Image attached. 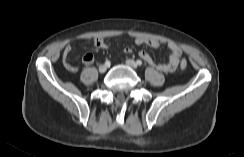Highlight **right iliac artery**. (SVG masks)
I'll use <instances>...</instances> for the list:
<instances>
[{
  "mask_svg": "<svg viewBox=\"0 0 244 157\" xmlns=\"http://www.w3.org/2000/svg\"><path fill=\"white\" fill-rule=\"evenodd\" d=\"M105 64H106L107 66H109V65H110V61H109V60H106V61H105Z\"/></svg>",
  "mask_w": 244,
  "mask_h": 157,
  "instance_id": "obj_1",
  "label": "right iliac artery"
}]
</instances>
